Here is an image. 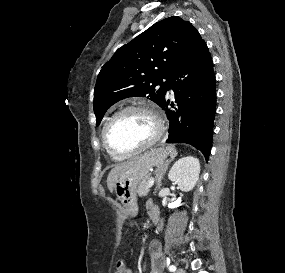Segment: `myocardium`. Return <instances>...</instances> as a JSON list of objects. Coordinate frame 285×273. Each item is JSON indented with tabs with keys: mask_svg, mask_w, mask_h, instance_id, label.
I'll use <instances>...</instances> for the list:
<instances>
[{
	"mask_svg": "<svg viewBox=\"0 0 285 273\" xmlns=\"http://www.w3.org/2000/svg\"><path fill=\"white\" fill-rule=\"evenodd\" d=\"M130 111H140V112H144V113H147L148 115H150L152 117V119L154 120V123L156 125V132H155L154 136L149 141L142 144L141 146H139L135 149L129 150V151H120L111 145L109 138H108V134H109V130H110L111 126L113 125V123L115 122V120L119 116H121L122 114H124L126 112H130ZM165 131H166L165 120H164L161 112L158 109H156L155 107L148 105V104H130V105H127V106L120 108L118 111L113 113L108 118V120L106 121V123L103 127V130H102V140H103L105 148L110 153L115 154L117 156H121V157H129V156L136 155V154L150 148L154 144H156L164 136Z\"/></svg>",
	"mask_w": 285,
	"mask_h": 273,
	"instance_id": "1",
	"label": "myocardium"
}]
</instances>
